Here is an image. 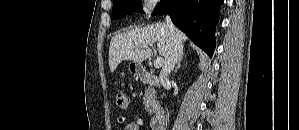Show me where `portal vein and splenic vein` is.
<instances>
[{
    "instance_id": "obj_1",
    "label": "portal vein and splenic vein",
    "mask_w": 299,
    "mask_h": 130,
    "mask_svg": "<svg viewBox=\"0 0 299 130\" xmlns=\"http://www.w3.org/2000/svg\"><path fill=\"white\" fill-rule=\"evenodd\" d=\"M163 63H164V59L162 57H159L154 61V67L159 68L163 65Z\"/></svg>"
}]
</instances>
